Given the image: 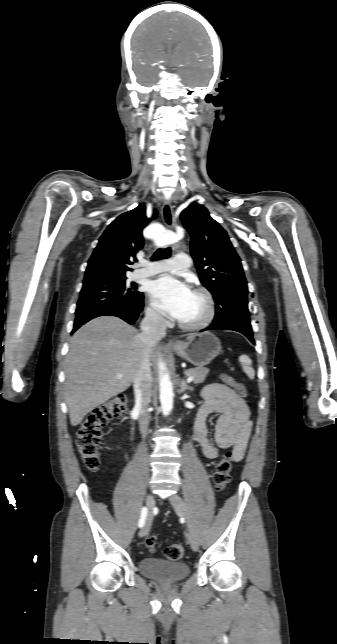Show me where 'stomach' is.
<instances>
[{
	"mask_svg": "<svg viewBox=\"0 0 337 644\" xmlns=\"http://www.w3.org/2000/svg\"><path fill=\"white\" fill-rule=\"evenodd\" d=\"M175 353L197 367H204L222 352L219 339L210 332L194 334L188 342L172 347Z\"/></svg>",
	"mask_w": 337,
	"mask_h": 644,
	"instance_id": "obj_1",
	"label": "stomach"
}]
</instances>
